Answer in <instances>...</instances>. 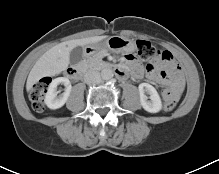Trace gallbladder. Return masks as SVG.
<instances>
[{"mask_svg": "<svg viewBox=\"0 0 219 174\" xmlns=\"http://www.w3.org/2000/svg\"><path fill=\"white\" fill-rule=\"evenodd\" d=\"M83 54H84L83 48L80 46L72 49L70 52V64L72 65L78 64L82 60Z\"/></svg>", "mask_w": 219, "mask_h": 174, "instance_id": "obj_1", "label": "gallbladder"}]
</instances>
